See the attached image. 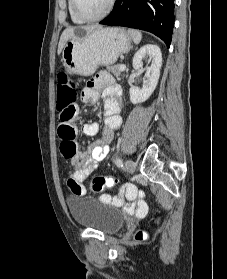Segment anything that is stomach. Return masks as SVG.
<instances>
[{
	"label": "stomach",
	"instance_id": "stomach-1",
	"mask_svg": "<svg viewBox=\"0 0 227 279\" xmlns=\"http://www.w3.org/2000/svg\"><path fill=\"white\" fill-rule=\"evenodd\" d=\"M77 39L67 41L62 50V63L68 74L90 76L99 66L114 64L131 49V37L121 28H98L90 33L78 30Z\"/></svg>",
	"mask_w": 227,
	"mask_h": 279
}]
</instances>
